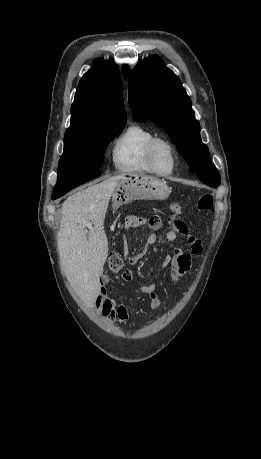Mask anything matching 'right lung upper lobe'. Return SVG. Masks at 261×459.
<instances>
[{
	"instance_id": "1",
	"label": "right lung upper lobe",
	"mask_w": 261,
	"mask_h": 459,
	"mask_svg": "<svg viewBox=\"0 0 261 459\" xmlns=\"http://www.w3.org/2000/svg\"><path fill=\"white\" fill-rule=\"evenodd\" d=\"M122 91L117 66L111 61L96 60L93 69L80 80L64 139L90 128L125 123Z\"/></svg>"
}]
</instances>
